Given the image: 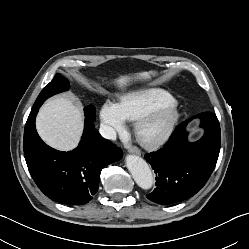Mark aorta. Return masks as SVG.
<instances>
[{
  "label": "aorta",
  "instance_id": "aorta-1",
  "mask_svg": "<svg viewBox=\"0 0 249 249\" xmlns=\"http://www.w3.org/2000/svg\"><path fill=\"white\" fill-rule=\"evenodd\" d=\"M126 166L137 185L149 190L153 186V174L147 162L137 155L126 156Z\"/></svg>",
  "mask_w": 249,
  "mask_h": 249
}]
</instances>
